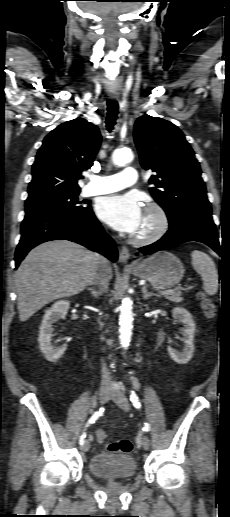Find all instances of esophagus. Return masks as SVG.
<instances>
[{"label": "esophagus", "mask_w": 230, "mask_h": 517, "mask_svg": "<svg viewBox=\"0 0 230 517\" xmlns=\"http://www.w3.org/2000/svg\"><path fill=\"white\" fill-rule=\"evenodd\" d=\"M110 97L116 100L118 98V94H112ZM129 257L130 253L128 248L126 246H122L119 252V261L125 265H128Z\"/></svg>", "instance_id": "obj_1"}]
</instances>
